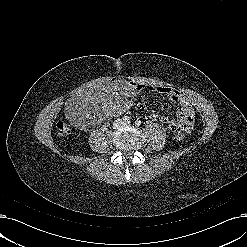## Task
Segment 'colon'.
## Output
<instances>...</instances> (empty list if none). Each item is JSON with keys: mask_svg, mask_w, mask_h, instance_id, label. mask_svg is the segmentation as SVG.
Returning <instances> with one entry per match:
<instances>
[{"mask_svg": "<svg viewBox=\"0 0 247 247\" xmlns=\"http://www.w3.org/2000/svg\"><path fill=\"white\" fill-rule=\"evenodd\" d=\"M56 131L59 136H67L70 133V127L68 123L64 120H59L56 123ZM175 137L177 140H183L185 137V132L182 130H177L175 133Z\"/></svg>", "mask_w": 247, "mask_h": 247, "instance_id": "1", "label": "colon"}]
</instances>
